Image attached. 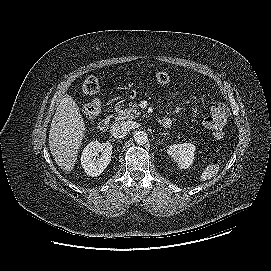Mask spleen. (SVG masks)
Segmentation results:
<instances>
[{
	"mask_svg": "<svg viewBox=\"0 0 271 271\" xmlns=\"http://www.w3.org/2000/svg\"><path fill=\"white\" fill-rule=\"evenodd\" d=\"M219 172V165L218 164H211L208 165L204 171L202 172L201 176H200V181H207L211 178H213L214 176L217 175V173Z\"/></svg>",
	"mask_w": 271,
	"mask_h": 271,
	"instance_id": "3e777b00",
	"label": "spleen"
}]
</instances>
